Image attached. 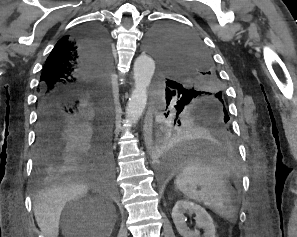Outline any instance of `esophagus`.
<instances>
[{"mask_svg": "<svg viewBox=\"0 0 297 237\" xmlns=\"http://www.w3.org/2000/svg\"><path fill=\"white\" fill-rule=\"evenodd\" d=\"M144 142L148 149L152 146V114L148 112L143 126Z\"/></svg>", "mask_w": 297, "mask_h": 237, "instance_id": "1", "label": "esophagus"}]
</instances>
